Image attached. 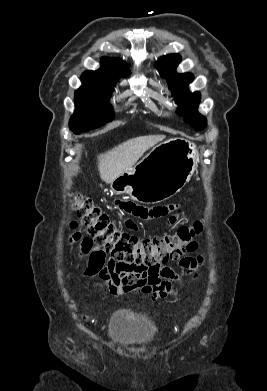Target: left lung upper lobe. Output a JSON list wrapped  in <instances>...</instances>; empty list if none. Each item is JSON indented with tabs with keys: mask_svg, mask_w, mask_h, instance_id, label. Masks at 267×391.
Here are the masks:
<instances>
[{
	"mask_svg": "<svg viewBox=\"0 0 267 391\" xmlns=\"http://www.w3.org/2000/svg\"><path fill=\"white\" fill-rule=\"evenodd\" d=\"M180 61L181 57L178 54L167 55L159 60L158 68L161 74L169 79V87L179 105V115L184 116V120L196 130H201L206 125V119L196 111L200 102V94L190 93L188 90V84L192 82L193 75L175 73Z\"/></svg>",
	"mask_w": 267,
	"mask_h": 391,
	"instance_id": "1",
	"label": "left lung upper lobe"
}]
</instances>
